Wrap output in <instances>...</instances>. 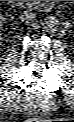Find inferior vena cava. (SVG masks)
Returning <instances> with one entry per match:
<instances>
[{"label":"inferior vena cava","mask_w":74,"mask_h":122,"mask_svg":"<svg viewBox=\"0 0 74 122\" xmlns=\"http://www.w3.org/2000/svg\"><path fill=\"white\" fill-rule=\"evenodd\" d=\"M20 19L26 25H33L36 21V15L31 11H24L20 16Z\"/></svg>","instance_id":"inferior-vena-cava-1"}]
</instances>
